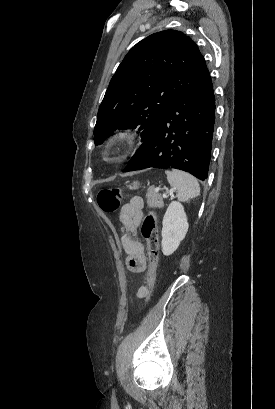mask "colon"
Returning <instances> with one entry per match:
<instances>
[{
    "instance_id": "colon-1",
    "label": "colon",
    "mask_w": 275,
    "mask_h": 409,
    "mask_svg": "<svg viewBox=\"0 0 275 409\" xmlns=\"http://www.w3.org/2000/svg\"><path fill=\"white\" fill-rule=\"evenodd\" d=\"M97 202L106 215L120 210L123 199L120 190L116 188L101 189L97 195ZM140 233L147 244L148 270L143 300L150 299L155 284L156 270L159 261V237L157 232V211L151 209L144 217Z\"/></svg>"
}]
</instances>
